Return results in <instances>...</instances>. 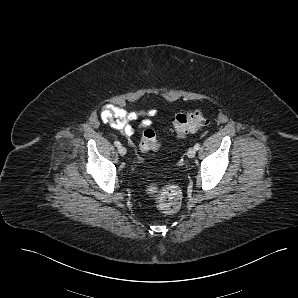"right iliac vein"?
<instances>
[{"label": "right iliac vein", "instance_id": "right-iliac-vein-1", "mask_svg": "<svg viewBox=\"0 0 298 298\" xmlns=\"http://www.w3.org/2000/svg\"><path fill=\"white\" fill-rule=\"evenodd\" d=\"M118 152H119V154L121 155V156H124L125 154H126V148L124 147V146H120L119 148H118Z\"/></svg>", "mask_w": 298, "mask_h": 298}]
</instances>
